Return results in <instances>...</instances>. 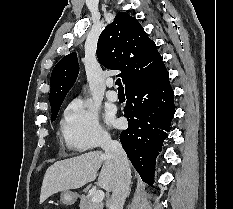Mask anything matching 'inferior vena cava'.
Wrapping results in <instances>:
<instances>
[{"label": "inferior vena cava", "instance_id": "obj_1", "mask_svg": "<svg viewBox=\"0 0 233 209\" xmlns=\"http://www.w3.org/2000/svg\"><path fill=\"white\" fill-rule=\"evenodd\" d=\"M100 145L105 154L113 159L116 169L115 186L112 191L109 209H123L131 182V169L127 155L121 144L112 140L110 136H103Z\"/></svg>", "mask_w": 233, "mask_h": 209}]
</instances>
